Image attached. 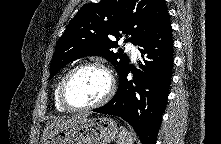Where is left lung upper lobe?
<instances>
[{"label": "left lung upper lobe", "instance_id": "obj_1", "mask_svg": "<svg viewBox=\"0 0 221 144\" xmlns=\"http://www.w3.org/2000/svg\"><path fill=\"white\" fill-rule=\"evenodd\" d=\"M167 13L164 0H101L80 8L57 42L50 79L67 63L100 55L119 73L128 65L127 55L114 52L118 40L139 45L148 38Z\"/></svg>", "mask_w": 221, "mask_h": 144}]
</instances>
